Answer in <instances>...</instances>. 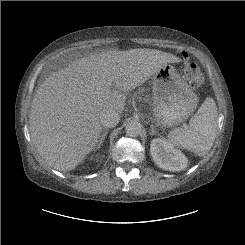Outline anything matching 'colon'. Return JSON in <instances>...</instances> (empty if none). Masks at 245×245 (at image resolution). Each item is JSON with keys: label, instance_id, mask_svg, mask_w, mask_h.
Masks as SVG:
<instances>
[{"label": "colon", "instance_id": "1", "mask_svg": "<svg viewBox=\"0 0 245 245\" xmlns=\"http://www.w3.org/2000/svg\"><path fill=\"white\" fill-rule=\"evenodd\" d=\"M181 75L192 90H198L204 82L203 74L199 66L192 61L187 53L183 54Z\"/></svg>", "mask_w": 245, "mask_h": 245}]
</instances>
